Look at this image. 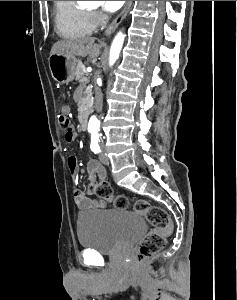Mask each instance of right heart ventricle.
Listing matches in <instances>:
<instances>
[{
	"label": "right heart ventricle",
	"instance_id": "obj_1",
	"mask_svg": "<svg viewBox=\"0 0 237 300\" xmlns=\"http://www.w3.org/2000/svg\"><path fill=\"white\" fill-rule=\"evenodd\" d=\"M55 25L63 37L89 34L92 29V14L77 1H54Z\"/></svg>",
	"mask_w": 237,
	"mask_h": 300
}]
</instances>
